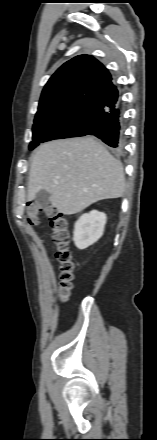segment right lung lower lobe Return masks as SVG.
Wrapping results in <instances>:
<instances>
[{"instance_id":"obj_1","label":"right lung lower lobe","mask_w":157,"mask_h":440,"mask_svg":"<svg viewBox=\"0 0 157 440\" xmlns=\"http://www.w3.org/2000/svg\"><path fill=\"white\" fill-rule=\"evenodd\" d=\"M90 135L101 139L107 145L120 149L124 132L120 104L114 109L102 112L87 125Z\"/></svg>"}]
</instances>
